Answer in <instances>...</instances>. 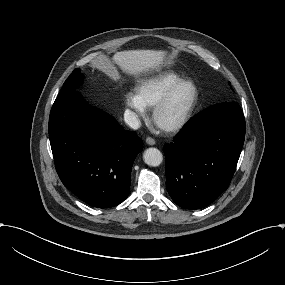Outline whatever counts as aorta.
<instances>
[{
  "label": "aorta",
  "instance_id": "1",
  "mask_svg": "<svg viewBox=\"0 0 285 285\" xmlns=\"http://www.w3.org/2000/svg\"><path fill=\"white\" fill-rule=\"evenodd\" d=\"M144 162L149 166H159L162 163L163 156L157 148H148L143 155Z\"/></svg>",
  "mask_w": 285,
  "mask_h": 285
}]
</instances>
